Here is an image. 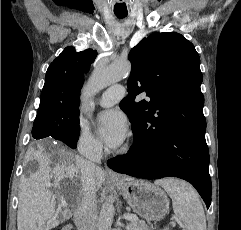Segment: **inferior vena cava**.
<instances>
[{
	"mask_svg": "<svg viewBox=\"0 0 241 230\" xmlns=\"http://www.w3.org/2000/svg\"><path fill=\"white\" fill-rule=\"evenodd\" d=\"M84 160L80 167L82 200L74 212V223L78 230H96V163L102 157L101 150H87L83 153Z\"/></svg>",
	"mask_w": 241,
	"mask_h": 230,
	"instance_id": "obj_1",
	"label": "inferior vena cava"
}]
</instances>
